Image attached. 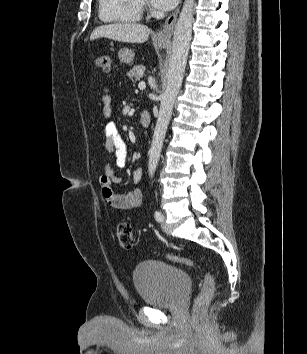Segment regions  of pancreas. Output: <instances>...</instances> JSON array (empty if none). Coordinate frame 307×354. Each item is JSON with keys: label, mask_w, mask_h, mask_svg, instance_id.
I'll list each match as a JSON object with an SVG mask.
<instances>
[{"label": "pancreas", "mask_w": 307, "mask_h": 354, "mask_svg": "<svg viewBox=\"0 0 307 354\" xmlns=\"http://www.w3.org/2000/svg\"><path fill=\"white\" fill-rule=\"evenodd\" d=\"M144 72H145V67L143 65H136L132 69H130L127 75L129 79L133 83H135L144 75Z\"/></svg>", "instance_id": "cf45deb5"}]
</instances>
